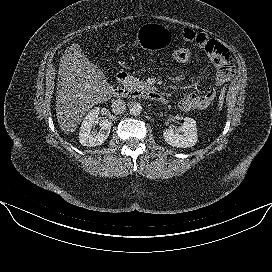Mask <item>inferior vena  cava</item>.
Here are the masks:
<instances>
[{"label":"inferior vena cava","instance_id":"602c4592","mask_svg":"<svg viewBox=\"0 0 272 272\" xmlns=\"http://www.w3.org/2000/svg\"><path fill=\"white\" fill-rule=\"evenodd\" d=\"M126 109V103L124 100L117 99L112 102V111L115 114H120Z\"/></svg>","mask_w":272,"mask_h":272}]
</instances>
